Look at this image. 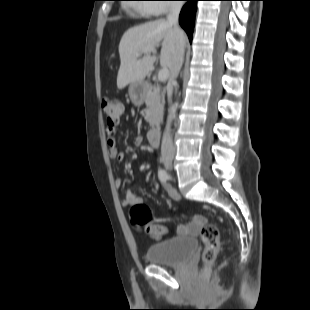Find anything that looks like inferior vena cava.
<instances>
[{
	"instance_id": "602c4592",
	"label": "inferior vena cava",
	"mask_w": 310,
	"mask_h": 310,
	"mask_svg": "<svg viewBox=\"0 0 310 310\" xmlns=\"http://www.w3.org/2000/svg\"><path fill=\"white\" fill-rule=\"evenodd\" d=\"M181 7L182 3L173 2L170 6L169 14L167 15V22L173 25L176 31V51L170 67L171 78H170V85L167 89L169 102L171 101L175 78L178 76V73L182 67L184 60V51H185L184 35L183 32L178 27V17L181 11ZM174 153H175V147L173 145L172 136L169 131V128L166 127V130L162 138L161 154L163 157H165L167 155H174Z\"/></svg>"
}]
</instances>
